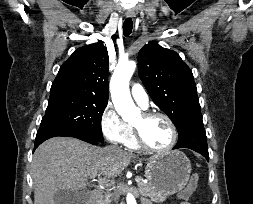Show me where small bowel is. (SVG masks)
I'll list each match as a JSON object with an SVG mask.
<instances>
[{"mask_svg": "<svg viewBox=\"0 0 253 204\" xmlns=\"http://www.w3.org/2000/svg\"><path fill=\"white\" fill-rule=\"evenodd\" d=\"M180 204H190L188 201H182Z\"/></svg>", "mask_w": 253, "mask_h": 204, "instance_id": "1", "label": "small bowel"}]
</instances>
